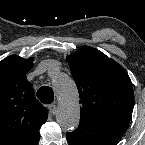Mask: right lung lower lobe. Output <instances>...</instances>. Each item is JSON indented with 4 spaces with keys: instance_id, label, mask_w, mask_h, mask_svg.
Masks as SVG:
<instances>
[{
    "instance_id": "right-lung-lower-lobe-1",
    "label": "right lung lower lobe",
    "mask_w": 145,
    "mask_h": 145,
    "mask_svg": "<svg viewBox=\"0 0 145 145\" xmlns=\"http://www.w3.org/2000/svg\"><path fill=\"white\" fill-rule=\"evenodd\" d=\"M39 141V137L35 140H33L32 142H30L28 145H36Z\"/></svg>"
}]
</instances>
